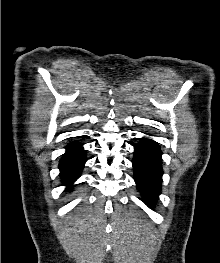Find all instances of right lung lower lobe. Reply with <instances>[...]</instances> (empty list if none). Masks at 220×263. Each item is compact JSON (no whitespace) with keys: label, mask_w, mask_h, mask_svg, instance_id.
Masks as SVG:
<instances>
[{"label":"right lung lower lobe","mask_w":220,"mask_h":263,"mask_svg":"<svg viewBox=\"0 0 220 263\" xmlns=\"http://www.w3.org/2000/svg\"><path fill=\"white\" fill-rule=\"evenodd\" d=\"M66 148L68 150L59 164L60 177L64 185H71L80 176V172L86 162V154L81 147V143H71ZM72 187L71 185L67 190H70Z\"/></svg>","instance_id":"98d812e1"}]
</instances>
